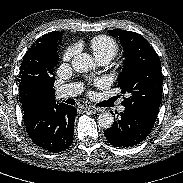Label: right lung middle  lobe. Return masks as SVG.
<instances>
[{"label":"right lung middle lobe","instance_id":"obj_1","mask_svg":"<svg viewBox=\"0 0 183 183\" xmlns=\"http://www.w3.org/2000/svg\"><path fill=\"white\" fill-rule=\"evenodd\" d=\"M53 85L54 83L51 82L48 84H43L35 87L30 94V99L33 102H38L54 98L55 90L53 88Z\"/></svg>","mask_w":183,"mask_h":183}]
</instances>
